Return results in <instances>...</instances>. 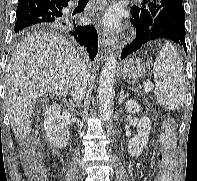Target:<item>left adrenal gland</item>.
<instances>
[{
  "label": "left adrenal gland",
  "mask_w": 197,
  "mask_h": 181,
  "mask_svg": "<svg viewBox=\"0 0 197 181\" xmlns=\"http://www.w3.org/2000/svg\"><path fill=\"white\" fill-rule=\"evenodd\" d=\"M127 95L124 94V90L123 88H121V91H120V97H119V104H121L123 102L124 99H126Z\"/></svg>",
  "instance_id": "1"
}]
</instances>
